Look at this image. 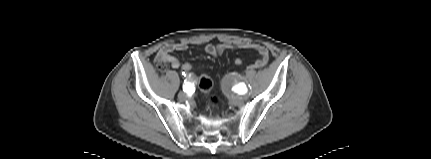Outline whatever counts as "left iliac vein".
<instances>
[{
	"label": "left iliac vein",
	"mask_w": 431,
	"mask_h": 159,
	"mask_svg": "<svg viewBox=\"0 0 431 159\" xmlns=\"http://www.w3.org/2000/svg\"><path fill=\"white\" fill-rule=\"evenodd\" d=\"M241 101H242V99H241V98L236 100V102H237L238 104H240V103H241Z\"/></svg>",
	"instance_id": "1"
}]
</instances>
